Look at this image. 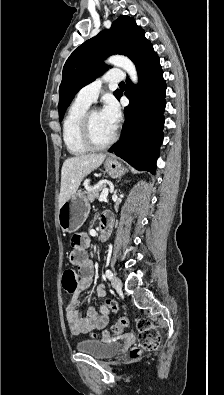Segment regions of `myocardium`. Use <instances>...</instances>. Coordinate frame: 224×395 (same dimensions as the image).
Here are the masks:
<instances>
[{
	"instance_id": "f54148a6",
	"label": "myocardium",
	"mask_w": 224,
	"mask_h": 395,
	"mask_svg": "<svg viewBox=\"0 0 224 395\" xmlns=\"http://www.w3.org/2000/svg\"><path fill=\"white\" fill-rule=\"evenodd\" d=\"M98 111L96 108L88 109L82 119L80 124V134L83 143L91 150H103L112 145L117 139V130L115 129L113 135L104 143H97L92 136L91 132V116L93 112Z\"/></svg>"
}]
</instances>
